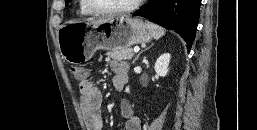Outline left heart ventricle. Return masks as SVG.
I'll use <instances>...</instances> for the list:
<instances>
[{"instance_id": "left-heart-ventricle-1", "label": "left heart ventricle", "mask_w": 257, "mask_h": 130, "mask_svg": "<svg viewBox=\"0 0 257 130\" xmlns=\"http://www.w3.org/2000/svg\"><path fill=\"white\" fill-rule=\"evenodd\" d=\"M134 0H90V2L100 9L120 8L131 4Z\"/></svg>"}]
</instances>
